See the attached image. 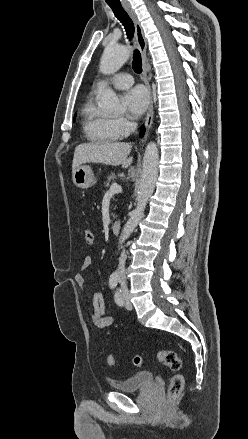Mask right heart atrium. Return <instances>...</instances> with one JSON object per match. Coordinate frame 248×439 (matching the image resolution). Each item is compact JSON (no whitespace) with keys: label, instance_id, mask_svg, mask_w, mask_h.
Returning a JSON list of instances; mask_svg holds the SVG:
<instances>
[{"label":"right heart atrium","instance_id":"d8ad5b80","mask_svg":"<svg viewBox=\"0 0 248 439\" xmlns=\"http://www.w3.org/2000/svg\"><path fill=\"white\" fill-rule=\"evenodd\" d=\"M112 125L115 131L121 136H127L136 127L135 121L127 116H121L112 119Z\"/></svg>","mask_w":248,"mask_h":439}]
</instances>
